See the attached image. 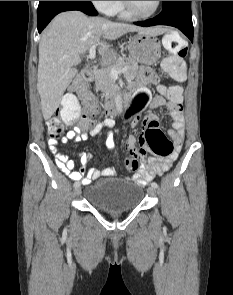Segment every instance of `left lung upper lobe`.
Instances as JSON below:
<instances>
[{
    "mask_svg": "<svg viewBox=\"0 0 233 295\" xmlns=\"http://www.w3.org/2000/svg\"><path fill=\"white\" fill-rule=\"evenodd\" d=\"M169 2H171V1H163V6L168 4Z\"/></svg>",
    "mask_w": 233,
    "mask_h": 295,
    "instance_id": "5c2ea615",
    "label": "left lung upper lobe"
}]
</instances>
